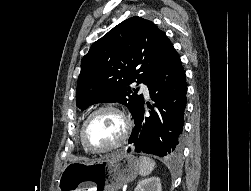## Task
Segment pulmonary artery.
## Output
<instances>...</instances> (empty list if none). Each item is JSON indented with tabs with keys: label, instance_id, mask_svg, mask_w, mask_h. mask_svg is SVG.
Listing matches in <instances>:
<instances>
[{
	"label": "pulmonary artery",
	"instance_id": "1",
	"mask_svg": "<svg viewBox=\"0 0 251 191\" xmlns=\"http://www.w3.org/2000/svg\"><path fill=\"white\" fill-rule=\"evenodd\" d=\"M140 90H141V92H142L146 97H148L149 91H148V88H147L146 85L141 84V85H140Z\"/></svg>",
	"mask_w": 251,
	"mask_h": 191
}]
</instances>
